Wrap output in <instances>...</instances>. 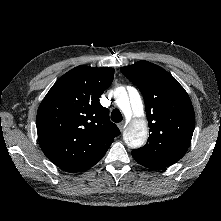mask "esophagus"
I'll list each match as a JSON object with an SVG mask.
<instances>
[{
	"label": "esophagus",
	"mask_w": 221,
	"mask_h": 221,
	"mask_svg": "<svg viewBox=\"0 0 221 221\" xmlns=\"http://www.w3.org/2000/svg\"><path fill=\"white\" fill-rule=\"evenodd\" d=\"M118 128H119L121 131H123L124 128H125V123H124V122L119 123V124H118Z\"/></svg>",
	"instance_id": "1"
}]
</instances>
